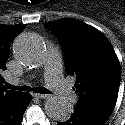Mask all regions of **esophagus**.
<instances>
[{"instance_id": "34e87169", "label": "esophagus", "mask_w": 125, "mask_h": 125, "mask_svg": "<svg viewBox=\"0 0 125 125\" xmlns=\"http://www.w3.org/2000/svg\"><path fill=\"white\" fill-rule=\"evenodd\" d=\"M32 95H33L34 97L40 98V99H45V98L50 97V95H48V94H41V93H33Z\"/></svg>"}]
</instances>
